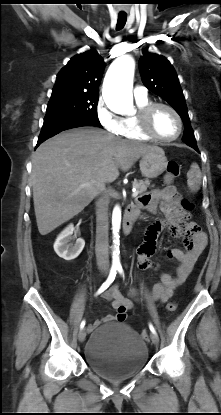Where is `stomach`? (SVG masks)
Wrapping results in <instances>:
<instances>
[{"mask_svg": "<svg viewBox=\"0 0 221 415\" xmlns=\"http://www.w3.org/2000/svg\"><path fill=\"white\" fill-rule=\"evenodd\" d=\"M167 158L161 148L154 149L141 157L139 166L142 175L146 178H157L167 168Z\"/></svg>", "mask_w": 221, "mask_h": 415, "instance_id": "1", "label": "stomach"}]
</instances>
